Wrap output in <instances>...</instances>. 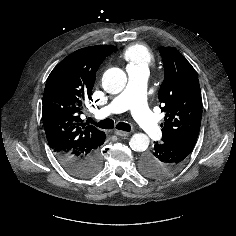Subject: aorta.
Returning <instances> with one entry per match:
<instances>
[{
	"label": "aorta",
	"instance_id": "obj_1",
	"mask_svg": "<svg viewBox=\"0 0 236 236\" xmlns=\"http://www.w3.org/2000/svg\"><path fill=\"white\" fill-rule=\"evenodd\" d=\"M127 83L125 72L120 68H110L105 71L102 77V86L110 94L120 93ZM149 138L143 133L134 134L129 142L133 151L143 152L149 146Z\"/></svg>",
	"mask_w": 236,
	"mask_h": 236
}]
</instances>
